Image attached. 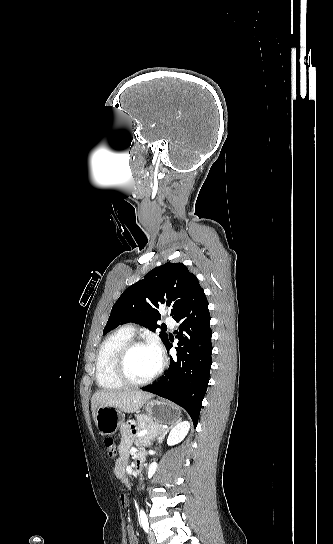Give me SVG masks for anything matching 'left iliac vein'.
Masks as SVG:
<instances>
[{"instance_id": "1", "label": "left iliac vein", "mask_w": 333, "mask_h": 544, "mask_svg": "<svg viewBox=\"0 0 333 544\" xmlns=\"http://www.w3.org/2000/svg\"><path fill=\"white\" fill-rule=\"evenodd\" d=\"M148 541H149V544H157L156 538L152 532H149L148 534Z\"/></svg>"}]
</instances>
